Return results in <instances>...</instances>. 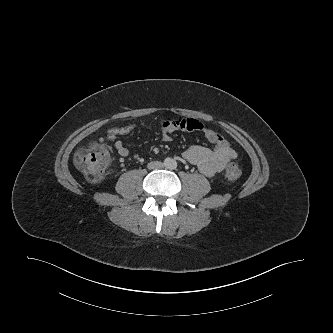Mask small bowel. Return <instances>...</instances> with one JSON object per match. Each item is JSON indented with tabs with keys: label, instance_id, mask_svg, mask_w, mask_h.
Returning <instances> with one entry per match:
<instances>
[{
	"label": "small bowel",
	"instance_id": "1",
	"mask_svg": "<svg viewBox=\"0 0 333 333\" xmlns=\"http://www.w3.org/2000/svg\"><path fill=\"white\" fill-rule=\"evenodd\" d=\"M135 128L134 125H126L112 127L107 131V139L114 142L119 156L127 157L129 150L122 141L118 140V137L130 134ZM178 130L199 131L214 145L213 149L195 145L183 153L184 159L196 165L206 177L211 178L222 172L228 163L236 157L235 151L223 136L196 119L174 118L164 120L161 124L162 137L165 141H170L172 133Z\"/></svg>",
	"mask_w": 333,
	"mask_h": 333
}]
</instances>
